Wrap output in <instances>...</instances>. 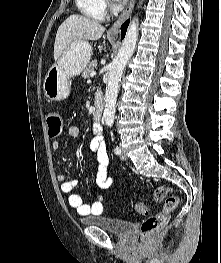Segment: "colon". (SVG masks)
<instances>
[{"label": "colon", "instance_id": "1", "mask_svg": "<svg viewBox=\"0 0 221 263\" xmlns=\"http://www.w3.org/2000/svg\"><path fill=\"white\" fill-rule=\"evenodd\" d=\"M46 120L49 136L51 138L60 136L64 127L60 112L56 109L48 110ZM153 196L155 202L164 201V205L161 212L146 218L141 224V237L147 243H150L154 237L160 234L167 224L169 215L176 210L179 203L178 197L166 185L158 186ZM133 210L140 215L147 214V208L143 202L134 203Z\"/></svg>", "mask_w": 221, "mask_h": 263}]
</instances>
